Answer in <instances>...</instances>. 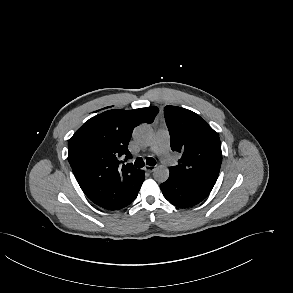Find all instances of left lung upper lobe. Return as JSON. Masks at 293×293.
<instances>
[{"instance_id":"left-lung-upper-lobe-1","label":"left lung upper lobe","mask_w":293,"mask_h":293,"mask_svg":"<svg viewBox=\"0 0 293 293\" xmlns=\"http://www.w3.org/2000/svg\"><path fill=\"white\" fill-rule=\"evenodd\" d=\"M171 149L182 153L170 173L185 179L215 184L222 152L218 134L196 113L176 106L164 109Z\"/></svg>"}]
</instances>
